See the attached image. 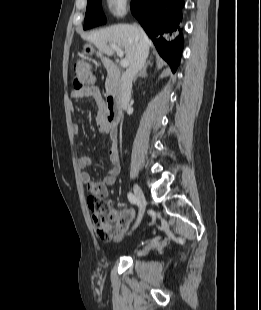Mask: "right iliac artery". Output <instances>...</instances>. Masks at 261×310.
Instances as JSON below:
<instances>
[{"label":"right iliac artery","mask_w":261,"mask_h":310,"mask_svg":"<svg viewBox=\"0 0 261 310\" xmlns=\"http://www.w3.org/2000/svg\"><path fill=\"white\" fill-rule=\"evenodd\" d=\"M127 196L131 204H136V198L131 192H129Z\"/></svg>","instance_id":"82829eb1"}]
</instances>
